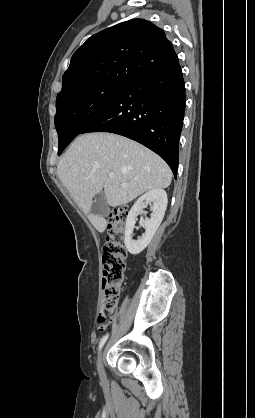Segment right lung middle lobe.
<instances>
[{"instance_id":"right-lung-middle-lobe-1","label":"right lung middle lobe","mask_w":255,"mask_h":418,"mask_svg":"<svg viewBox=\"0 0 255 418\" xmlns=\"http://www.w3.org/2000/svg\"><path fill=\"white\" fill-rule=\"evenodd\" d=\"M128 84L99 81L57 95L58 155Z\"/></svg>"}]
</instances>
